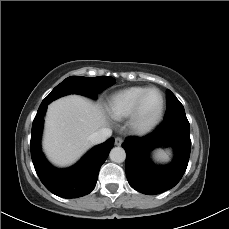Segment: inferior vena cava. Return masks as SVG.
Segmentation results:
<instances>
[{
    "mask_svg": "<svg viewBox=\"0 0 229 229\" xmlns=\"http://www.w3.org/2000/svg\"><path fill=\"white\" fill-rule=\"evenodd\" d=\"M112 135V130L110 128H101L89 136V140L92 144H99Z\"/></svg>",
    "mask_w": 229,
    "mask_h": 229,
    "instance_id": "1",
    "label": "inferior vena cava"
}]
</instances>
